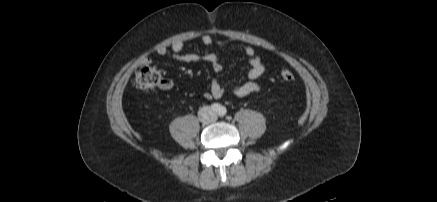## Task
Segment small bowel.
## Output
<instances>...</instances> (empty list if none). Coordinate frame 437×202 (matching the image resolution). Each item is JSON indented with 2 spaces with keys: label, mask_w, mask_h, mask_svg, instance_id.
Returning a JSON list of instances; mask_svg holds the SVG:
<instances>
[{
  "label": "small bowel",
  "mask_w": 437,
  "mask_h": 202,
  "mask_svg": "<svg viewBox=\"0 0 437 202\" xmlns=\"http://www.w3.org/2000/svg\"><path fill=\"white\" fill-rule=\"evenodd\" d=\"M237 38H214L211 35H204L201 42L204 46H209L216 43L221 49L227 48L231 44L237 42ZM186 42L184 40H177L171 44L170 47L159 46L156 53L161 56H167L175 61L182 63H192L198 61H206L211 64L213 70L219 74L223 70V62L215 53H183ZM243 51L249 57V70L247 73V80L239 82L230 88V92L236 97H244L250 93L257 92L259 85L257 80L263 75L265 65L261 57L257 54L254 46L245 44ZM173 85L170 79H164L161 86L162 89H169ZM226 93V88L220 83L218 77H214L211 82L210 89L204 93L206 99H218Z\"/></svg>",
  "instance_id": "1"
}]
</instances>
